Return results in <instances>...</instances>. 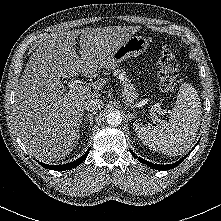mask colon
I'll return each mask as SVG.
<instances>
[{
	"label": "colon",
	"mask_w": 221,
	"mask_h": 221,
	"mask_svg": "<svg viewBox=\"0 0 221 221\" xmlns=\"http://www.w3.org/2000/svg\"><path fill=\"white\" fill-rule=\"evenodd\" d=\"M158 69L160 88L164 91L170 90L178 76V60L170 48L162 50L158 61Z\"/></svg>",
	"instance_id": "colon-1"
}]
</instances>
